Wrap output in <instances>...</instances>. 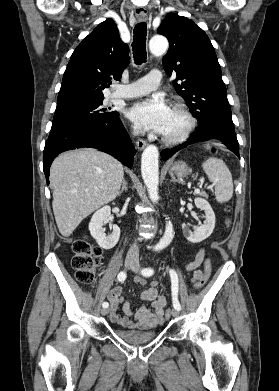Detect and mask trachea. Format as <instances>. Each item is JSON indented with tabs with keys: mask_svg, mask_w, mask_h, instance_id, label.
<instances>
[{
	"mask_svg": "<svg viewBox=\"0 0 279 391\" xmlns=\"http://www.w3.org/2000/svg\"><path fill=\"white\" fill-rule=\"evenodd\" d=\"M132 50L135 64L141 65L146 62V35L147 25L145 22L138 23L133 30Z\"/></svg>",
	"mask_w": 279,
	"mask_h": 391,
	"instance_id": "1",
	"label": "trachea"
}]
</instances>
